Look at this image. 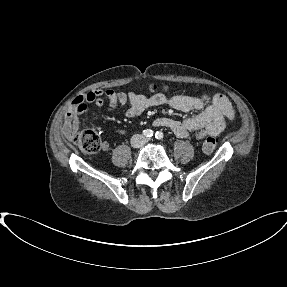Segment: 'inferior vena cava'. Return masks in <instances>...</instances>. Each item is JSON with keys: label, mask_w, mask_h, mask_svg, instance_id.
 I'll return each mask as SVG.
<instances>
[{"label": "inferior vena cava", "mask_w": 287, "mask_h": 287, "mask_svg": "<svg viewBox=\"0 0 287 287\" xmlns=\"http://www.w3.org/2000/svg\"><path fill=\"white\" fill-rule=\"evenodd\" d=\"M134 138H139L140 139V141L136 144V146H138V147L142 146V144L144 142V137L141 136V135H134L132 139H134Z\"/></svg>", "instance_id": "obj_1"}]
</instances>
